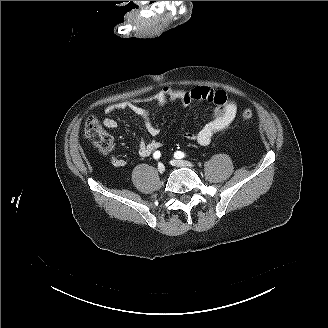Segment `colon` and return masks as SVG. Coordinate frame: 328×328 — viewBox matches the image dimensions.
Masks as SVG:
<instances>
[{
  "instance_id": "1",
  "label": "colon",
  "mask_w": 328,
  "mask_h": 328,
  "mask_svg": "<svg viewBox=\"0 0 328 328\" xmlns=\"http://www.w3.org/2000/svg\"><path fill=\"white\" fill-rule=\"evenodd\" d=\"M253 117V111L246 108L242 111V118L249 120ZM85 135L90 138L94 145L102 152H107L112 148L113 139L100 126L95 117H89L85 123Z\"/></svg>"
}]
</instances>
